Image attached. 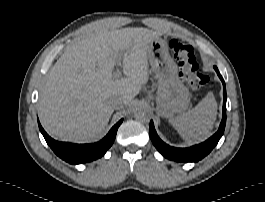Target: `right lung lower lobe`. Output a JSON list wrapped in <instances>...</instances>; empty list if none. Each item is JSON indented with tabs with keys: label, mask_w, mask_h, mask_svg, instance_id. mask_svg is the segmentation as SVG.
Returning <instances> with one entry per match:
<instances>
[{
	"label": "right lung lower lobe",
	"mask_w": 265,
	"mask_h": 202,
	"mask_svg": "<svg viewBox=\"0 0 265 202\" xmlns=\"http://www.w3.org/2000/svg\"><path fill=\"white\" fill-rule=\"evenodd\" d=\"M122 121L123 119L117 122L102 140L92 144H72L66 142H58L52 139L44 131L39 120L38 126L47 144L57 156L70 164H82L98 159L106 153V151L113 144L117 129Z\"/></svg>",
	"instance_id": "1"
}]
</instances>
